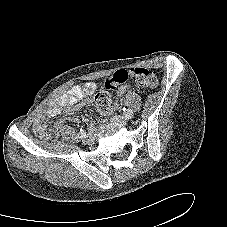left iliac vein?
Listing matches in <instances>:
<instances>
[{
    "instance_id": "1",
    "label": "left iliac vein",
    "mask_w": 227,
    "mask_h": 227,
    "mask_svg": "<svg viewBox=\"0 0 227 227\" xmlns=\"http://www.w3.org/2000/svg\"><path fill=\"white\" fill-rule=\"evenodd\" d=\"M131 118L132 116L128 117V116L115 115L111 118V121L115 123L126 124L128 120Z\"/></svg>"
}]
</instances>
